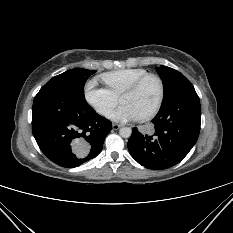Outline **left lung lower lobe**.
I'll return each instance as SVG.
<instances>
[{"instance_id":"obj_1","label":"left lung lower lobe","mask_w":233,"mask_h":233,"mask_svg":"<svg viewBox=\"0 0 233 233\" xmlns=\"http://www.w3.org/2000/svg\"><path fill=\"white\" fill-rule=\"evenodd\" d=\"M152 122L155 128L153 135L142 134L133 128L128 150L146 168H170L184 159L200 132V100L186 77L177 83Z\"/></svg>"}]
</instances>
